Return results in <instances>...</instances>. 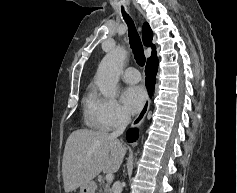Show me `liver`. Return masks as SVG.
Instances as JSON below:
<instances>
[{
    "label": "liver",
    "mask_w": 237,
    "mask_h": 193,
    "mask_svg": "<svg viewBox=\"0 0 237 193\" xmlns=\"http://www.w3.org/2000/svg\"><path fill=\"white\" fill-rule=\"evenodd\" d=\"M126 148L108 133L88 129L72 132L67 139L62 174L66 193L90 182L100 172H116Z\"/></svg>",
    "instance_id": "obj_1"
}]
</instances>
